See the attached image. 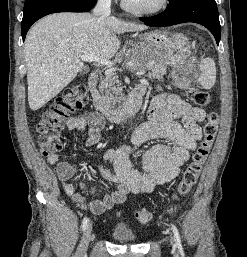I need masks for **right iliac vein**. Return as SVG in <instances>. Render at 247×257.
<instances>
[{
  "instance_id": "1",
  "label": "right iliac vein",
  "mask_w": 247,
  "mask_h": 257,
  "mask_svg": "<svg viewBox=\"0 0 247 257\" xmlns=\"http://www.w3.org/2000/svg\"><path fill=\"white\" fill-rule=\"evenodd\" d=\"M92 233V223H89L82 235L75 257H85Z\"/></svg>"
}]
</instances>
